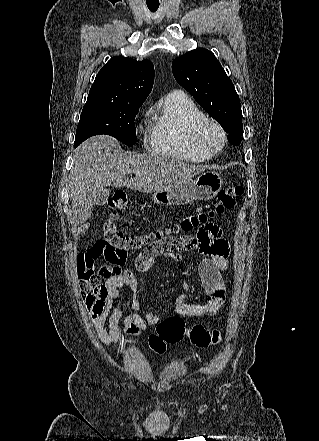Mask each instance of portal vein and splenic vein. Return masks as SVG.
<instances>
[{"label":"portal vein and splenic vein","instance_id":"18ae733b","mask_svg":"<svg viewBox=\"0 0 319 441\" xmlns=\"http://www.w3.org/2000/svg\"><path fill=\"white\" fill-rule=\"evenodd\" d=\"M136 175H137V176H139V175H140V173H139V172L137 171V172H136Z\"/></svg>","mask_w":319,"mask_h":441}]
</instances>
